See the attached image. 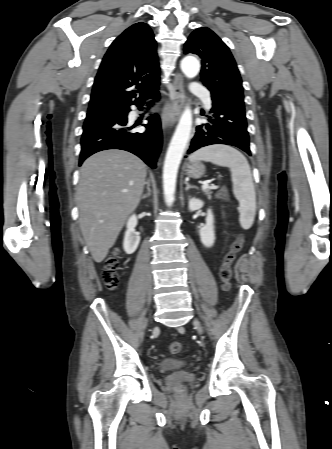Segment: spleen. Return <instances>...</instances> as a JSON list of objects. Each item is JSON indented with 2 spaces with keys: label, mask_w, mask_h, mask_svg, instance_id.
<instances>
[{
  "label": "spleen",
  "mask_w": 332,
  "mask_h": 449,
  "mask_svg": "<svg viewBox=\"0 0 332 449\" xmlns=\"http://www.w3.org/2000/svg\"><path fill=\"white\" fill-rule=\"evenodd\" d=\"M189 159L191 162L206 161L230 169L233 193L239 201V221L242 228L249 229L256 214V194L250 166L244 155L227 145H212L194 152Z\"/></svg>",
  "instance_id": "3e777b00"
}]
</instances>
